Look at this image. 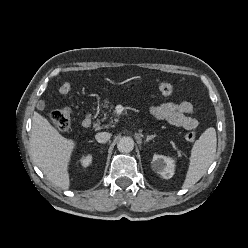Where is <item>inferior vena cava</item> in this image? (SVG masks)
<instances>
[{
  "label": "inferior vena cava",
  "mask_w": 248,
  "mask_h": 248,
  "mask_svg": "<svg viewBox=\"0 0 248 248\" xmlns=\"http://www.w3.org/2000/svg\"><path fill=\"white\" fill-rule=\"evenodd\" d=\"M111 138V134L108 132H99L95 135V139L99 143H106Z\"/></svg>",
  "instance_id": "obj_1"
}]
</instances>
